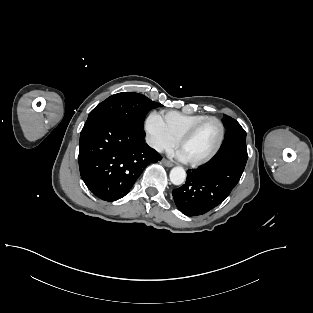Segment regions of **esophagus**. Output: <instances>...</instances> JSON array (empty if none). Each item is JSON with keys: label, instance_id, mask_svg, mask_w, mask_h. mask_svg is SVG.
<instances>
[{"label": "esophagus", "instance_id": "esophagus-1", "mask_svg": "<svg viewBox=\"0 0 313 313\" xmlns=\"http://www.w3.org/2000/svg\"><path fill=\"white\" fill-rule=\"evenodd\" d=\"M162 164L165 165L166 167H172L173 163L168 161L167 159H162Z\"/></svg>", "mask_w": 313, "mask_h": 313}]
</instances>
